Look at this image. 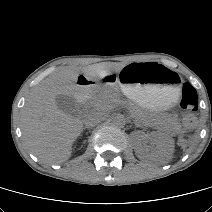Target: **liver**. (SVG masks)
Instances as JSON below:
<instances>
[{
    "label": "liver",
    "instance_id": "liver-1",
    "mask_svg": "<svg viewBox=\"0 0 212 212\" xmlns=\"http://www.w3.org/2000/svg\"><path fill=\"white\" fill-rule=\"evenodd\" d=\"M124 63H99L82 72L93 78L118 73ZM79 70L63 67L43 80L30 94L21 112L23 139L32 154L45 164H59L71 156L72 145L83 130V121L61 111L57 95L74 96Z\"/></svg>",
    "mask_w": 212,
    "mask_h": 212
}]
</instances>
